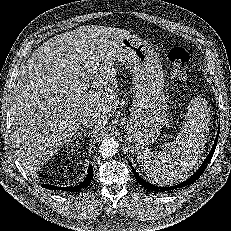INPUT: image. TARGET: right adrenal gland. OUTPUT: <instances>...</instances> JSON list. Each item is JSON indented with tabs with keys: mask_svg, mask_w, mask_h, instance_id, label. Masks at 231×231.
<instances>
[{
	"mask_svg": "<svg viewBox=\"0 0 231 231\" xmlns=\"http://www.w3.org/2000/svg\"><path fill=\"white\" fill-rule=\"evenodd\" d=\"M84 129H82L80 132H78V134L75 136V143L79 144V140L82 137L83 133H84Z\"/></svg>",
	"mask_w": 231,
	"mask_h": 231,
	"instance_id": "right-adrenal-gland-1",
	"label": "right adrenal gland"
}]
</instances>
